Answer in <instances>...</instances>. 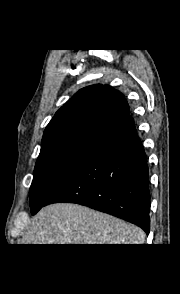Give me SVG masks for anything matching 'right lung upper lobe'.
Returning <instances> with one entry per match:
<instances>
[{
  "label": "right lung upper lobe",
  "mask_w": 180,
  "mask_h": 294,
  "mask_svg": "<svg viewBox=\"0 0 180 294\" xmlns=\"http://www.w3.org/2000/svg\"><path fill=\"white\" fill-rule=\"evenodd\" d=\"M130 117L125 97L111 86L91 85L79 90L47 125L41 150L70 140L100 142Z\"/></svg>",
  "instance_id": "cb5924a9"
}]
</instances>
